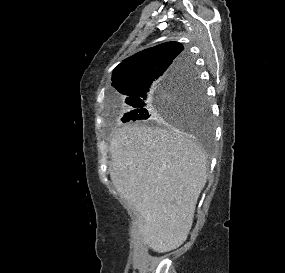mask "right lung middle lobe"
Wrapping results in <instances>:
<instances>
[{"label": "right lung middle lobe", "mask_w": 285, "mask_h": 273, "mask_svg": "<svg viewBox=\"0 0 285 273\" xmlns=\"http://www.w3.org/2000/svg\"><path fill=\"white\" fill-rule=\"evenodd\" d=\"M126 103L130 106V111L122 118L123 122L150 118L156 121H176L197 129H207L210 126L205 89L193 66L184 73L166 78L153 90L135 96Z\"/></svg>", "instance_id": "1"}]
</instances>
